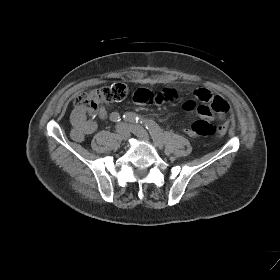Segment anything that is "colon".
<instances>
[{
	"mask_svg": "<svg viewBox=\"0 0 280 280\" xmlns=\"http://www.w3.org/2000/svg\"><path fill=\"white\" fill-rule=\"evenodd\" d=\"M127 94L128 87L125 84L114 83L77 95L74 99V106L90 114H95L101 105L120 102L126 98ZM190 129L196 136H212L225 132L221 126H215L205 119L195 121Z\"/></svg>",
	"mask_w": 280,
	"mask_h": 280,
	"instance_id": "obj_1",
	"label": "colon"
}]
</instances>
